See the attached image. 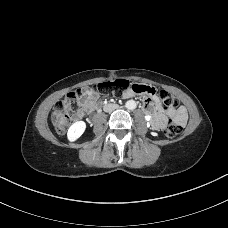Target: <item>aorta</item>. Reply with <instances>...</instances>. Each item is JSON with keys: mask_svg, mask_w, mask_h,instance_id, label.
<instances>
[{"mask_svg": "<svg viewBox=\"0 0 228 228\" xmlns=\"http://www.w3.org/2000/svg\"><path fill=\"white\" fill-rule=\"evenodd\" d=\"M126 108L129 110H134L137 107V104L134 100H128L125 104Z\"/></svg>", "mask_w": 228, "mask_h": 228, "instance_id": "aorta-1", "label": "aorta"}]
</instances>
